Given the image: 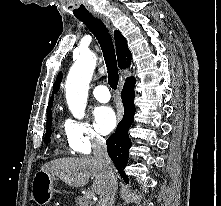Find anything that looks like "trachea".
Returning <instances> with one entry per match:
<instances>
[{
	"instance_id": "1",
	"label": "trachea",
	"mask_w": 221,
	"mask_h": 206,
	"mask_svg": "<svg viewBox=\"0 0 221 206\" xmlns=\"http://www.w3.org/2000/svg\"><path fill=\"white\" fill-rule=\"evenodd\" d=\"M77 18L80 21H82L97 38L101 46L107 67L108 83L112 89L116 90L118 85L119 75L117 69L115 49L111 35L107 27L100 19L95 18L92 15H86Z\"/></svg>"
}]
</instances>
